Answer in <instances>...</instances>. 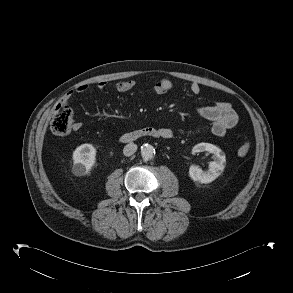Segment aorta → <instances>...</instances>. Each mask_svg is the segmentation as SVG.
<instances>
[{"mask_svg":"<svg viewBox=\"0 0 293 293\" xmlns=\"http://www.w3.org/2000/svg\"><path fill=\"white\" fill-rule=\"evenodd\" d=\"M155 155V149L150 144H144L141 147V156L144 160L148 161L151 160Z\"/></svg>","mask_w":293,"mask_h":293,"instance_id":"aorta-1","label":"aorta"}]
</instances>
